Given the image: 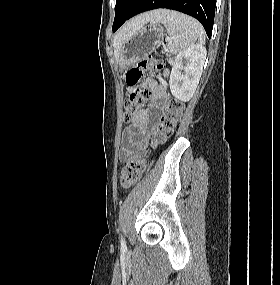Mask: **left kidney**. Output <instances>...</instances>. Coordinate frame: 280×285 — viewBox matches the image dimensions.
<instances>
[{
  "label": "left kidney",
  "instance_id": "left-kidney-1",
  "mask_svg": "<svg viewBox=\"0 0 280 285\" xmlns=\"http://www.w3.org/2000/svg\"><path fill=\"white\" fill-rule=\"evenodd\" d=\"M206 54V48L196 44L177 55L169 80L171 93L176 99L187 102L193 97L203 71Z\"/></svg>",
  "mask_w": 280,
  "mask_h": 285
}]
</instances>
